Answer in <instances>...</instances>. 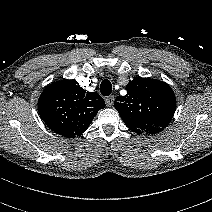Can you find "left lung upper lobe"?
Returning a JSON list of instances; mask_svg holds the SVG:
<instances>
[{
    "mask_svg": "<svg viewBox=\"0 0 212 212\" xmlns=\"http://www.w3.org/2000/svg\"><path fill=\"white\" fill-rule=\"evenodd\" d=\"M127 94L118 96L114 106L125 125L137 134L153 135L164 130L176 110V98L165 82L135 78L126 86Z\"/></svg>",
    "mask_w": 212,
    "mask_h": 212,
    "instance_id": "left-lung-upper-lobe-1",
    "label": "left lung upper lobe"
}]
</instances>
